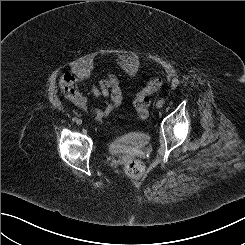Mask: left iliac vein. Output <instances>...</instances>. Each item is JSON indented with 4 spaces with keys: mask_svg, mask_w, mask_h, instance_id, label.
I'll return each mask as SVG.
<instances>
[{
    "mask_svg": "<svg viewBox=\"0 0 245 245\" xmlns=\"http://www.w3.org/2000/svg\"><path fill=\"white\" fill-rule=\"evenodd\" d=\"M162 106H163V104H161V103H159V102L156 103V107H157V108H161Z\"/></svg>",
    "mask_w": 245,
    "mask_h": 245,
    "instance_id": "4c4485c4",
    "label": "left iliac vein"
}]
</instances>
